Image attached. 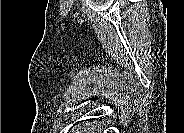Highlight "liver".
<instances>
[{
    "label": "liver",
    "mask_w": 184,
    "mask_h": 133,
    "mask_svg": "<svg viewBox=\"0 0 184 133\" xmlns=\"http://www.w3.org/2000/svg\"><path fill=\"white\" fill-rule=\"evenodd\" d=\"M87 125L88 123H86V126L84 127V129L80 131H83L84 133H88L89 131H99V130H95L94 126L88 127Z\"/></svg>",
    "instance_id": "1"
}]
</instances>
